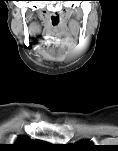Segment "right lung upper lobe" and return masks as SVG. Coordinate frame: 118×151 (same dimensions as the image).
Instances as JSON below:
<instances>
[{
    "label": "right lung upper lobe",
    "mask_w": 118,
    "mask_h": 151,
    "mask_svg": "<svg viewBox=\"0 0 118 151\" xmlns=\"http://www.w3.org/2000/svg\"><path fill=\"white\" fill-rule=\"evenodd\" d=\"M45 145H47L46 142L40 140H32L28 136L21 135L17 138L16 142L13 144V147L16 150L27 151L36 148H42Z\"/></svg>",
    "instance_id": "cb5924a9"
}]
</instances>
